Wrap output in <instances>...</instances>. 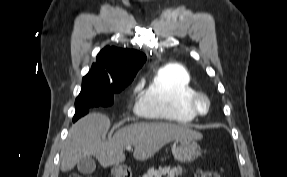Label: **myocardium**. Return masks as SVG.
<instances>
[{
    "label": "myocardium",
    "mask_w": 287,
    "mask_h": 177,
    "mask_svg": "<svg viewBox=\"0 0 287 177\" xmlns=\"http://www.w3.org/2000/svg\"><path fill=\"white\" fill-rule=\"evenodd\" d=\"M190 106L197 115H206L211 109V101L203 92H195L190 99Z\"/></svg>",
    "instance_id": "1"
}]
</instances>
